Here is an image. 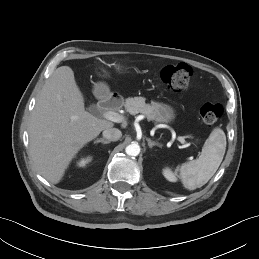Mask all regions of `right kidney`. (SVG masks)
<instances>
[{"label":"right kidney","instance_id":"1","mask_svg":"<svg viewBox=\"0 0 259 259\" xmlns=\"http://www.w3.org/2000/svg\"><path fill=\"white\" fill-rule=\"evenodd\" d=\"M91 161V157L83 158L78 162L79 167H84L86 164H88Z\"/></svg>","mask_w":259,"mask_h":259}]
</instances>
